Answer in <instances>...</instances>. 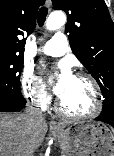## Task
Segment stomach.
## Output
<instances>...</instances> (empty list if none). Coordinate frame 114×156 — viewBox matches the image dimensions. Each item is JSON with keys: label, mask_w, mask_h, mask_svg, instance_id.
Instances as JSON below:
<instances>
[{"label": "stomach", "mask_w": 114, "mask_h": 156, "mask_svg": "<svg viewBox=\"0 0 114 156\" xmlns=\"http://www.w3.org/2000/svg\"><path fill=\"white\" fill-rule=\"evenodd\" d=\"M53 132L62 156H114V133L103 123L60 124Z\"/></svg>", "instance_id": "obj_1"}]
</instances>
